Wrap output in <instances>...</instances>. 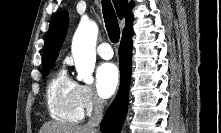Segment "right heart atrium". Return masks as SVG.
<instances>
[{
    "label": "right heart atrium",
    "instance_id": "d8ad5b80",
    "mask_svg": "<svg viewBox=\"0 0 221 133\" xmlns=\"http://www.w3.org/2000/svg\"><path fill=\"white\" fill-rule=\"evenodd\" d=\"M79 99L83 111L93 113L100 109L102 101L96 96L93 88L89 85H79Z\"/></svg>",
    "mask_w": 221,
    "mask_h": 133
}]
</instances>
